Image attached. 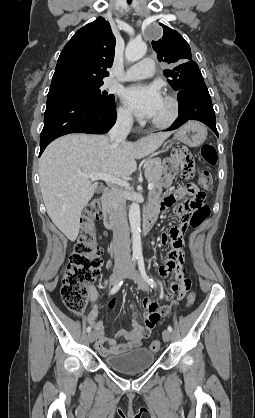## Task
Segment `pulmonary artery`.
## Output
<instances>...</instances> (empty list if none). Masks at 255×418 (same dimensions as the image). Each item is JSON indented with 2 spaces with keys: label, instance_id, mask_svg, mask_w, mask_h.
Here are the masks:
<instances>
[{
  "label": "pulmonary artery",
  "instance_id": "obj_1",
  "mask_svg": "<svg viewBox=\"0 0 255 418\" xmlns=\"http://www.w3.org/2000/svg\"><path fill=\"white\" fill-rule=\"evenodd\" d=\"M155 64L151 58H144L139 63L128 68L121 76V81L144 79L154 74Z\"/></svg>",
  "mask_w": 255,
  "mask_h": 418
}]
</instances>
